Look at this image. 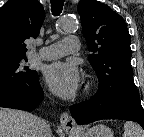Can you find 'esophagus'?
I'll list each match as a JSON object with an SVG mask.
<instances>
[{
    "mask_svg": "<svg viewBox=\"0 0 144 137\" xmlns=\"http://www.w3.org/2000/svg\"><path fill=\"white\" fill-rule=\"evenodd\" d=\"M60 123L63 130L67 133L73 132L77 128L74 118L68 112L61 114Z\"/></svg>",
    "mask_w": 144,
    "mask_h": 137,
    "instance_id": "1",
    "label": "esophagus"
}]
</instances>
